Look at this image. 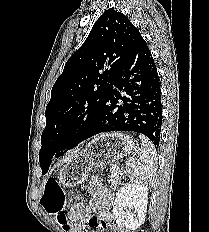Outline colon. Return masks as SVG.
Returning <instances> with one entry per match:
<instances>
[{"mask_svg":"<svg viewBox=\"0 0 209 232\" xmlns=\"http://www.w3.org/2000/svg\"><path fill=\"white\" fill-rule=\"evenodd\" d=\"M41 204L45 210L59 220V226H68L65 221L66 194L55 179H48L44 184Z\"/></svg>","mask_w":209,"mask_h":232,"instance_id":"colon-1","label":"colon"}]
</instances>
